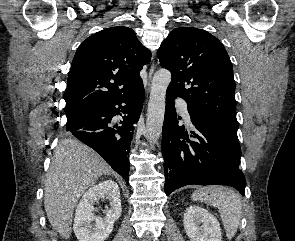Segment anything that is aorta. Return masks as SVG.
I'll return each mask as SVG.
<instances>
[{
    "mask_svg": "<svg viewBox=\"0 0 295 241\" xmlns=\"http://www.w3.org/2000/svg\"><path fill=\"white\" fill-rule=\"evenodd\" d=\"M171 82V73L167 69L157 71L151 82L148 102L146 132L149 143L153 145L161 136L164 122L166 91Z\"/></svg>",
    "mask_w": 295,
    "mask_h": 241,
    "instance_id": "aorta-1",
    "label": "aorta"
}]
</instances>
